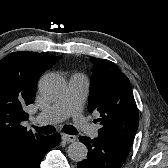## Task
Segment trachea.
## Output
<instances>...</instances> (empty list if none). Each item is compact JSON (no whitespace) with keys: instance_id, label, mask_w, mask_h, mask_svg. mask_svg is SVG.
Returning a JSON list of instances; mask_svg holds the SVG:
<instances>
[{"instance_id":"trachea-1","label":"trachea","mask_w":168,"mask_h":168,"mask_svg":"<svg viewBox=\"0 0 168 168\" xmlns=\"http://www.w3.org/2000/svg\"><path fill=\"white\" fill-rule=\"evenodd\" d=\"M33 128L41 134H51V133L55 132V130H56L53 126H50V125L43 126V127L33 126ZM62 131L65 132L66 134H69V135L78 134V131L72 125H65L62 128Z\"/></svg>"}]
</instances>
